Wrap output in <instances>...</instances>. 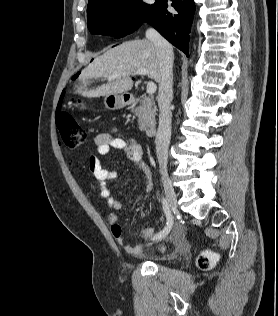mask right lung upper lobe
<instances>
[{"instance_id":"1","label":"right lung upper lobe","mask_w":278,"mask_h":316,"mask_svg":"<svg viewBox=\"0 0 278 316\" xmlns=\"http://www.w3.org/2000/svg\"><path fill=\"white\" fill-rule=\"evenodd\" d=\"M105 1H109V0H88V10L89 11L90 9L94 8L96 5L102 3V2H105Z\"/></svg>"}]
</instances>
